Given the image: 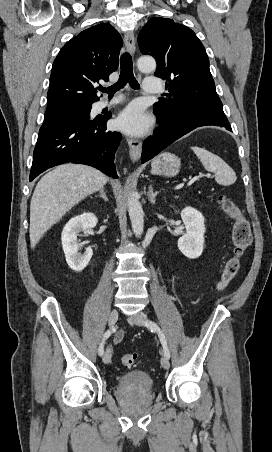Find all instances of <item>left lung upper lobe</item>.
Returning a JSON list of instances; mask_svg holds the SVG:
<instances>
[{
    "mask_svg": "<svg viewBox=\"0 0 272 452\" xmlns=\"http://www.w3.org/2000/svg\"><path fill=\"white\" fill-rule=\"evenodd\" d=\"M138 42L142 54L156 59L155 75L168 81L170 94L154 104L155 112L172 118L224 114L207 53L190 28L154 17L140 31Z\"/></svg>",
    "mask_w": 272,
    "mask_h": 452,
    "instance_id": "left-lung-upper-lobe-1",
    "label": "left lung upper lobe"
}]
</instances>
